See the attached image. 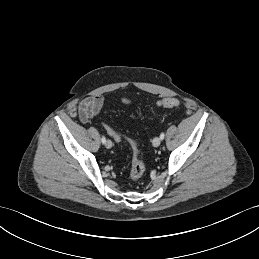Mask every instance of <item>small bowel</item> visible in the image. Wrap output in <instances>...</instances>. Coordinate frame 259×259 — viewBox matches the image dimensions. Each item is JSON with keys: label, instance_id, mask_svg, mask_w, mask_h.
<instances>
[{"label": "small bowel", "instance_id": "1", "mask_svg": "<svg viewBox=\"0 0 259 259\" xmlns=\"http://www.w3.org/2000/svg\"><path fill=\"white\" fill-rule=\"evenodd\" d=\"M128 104V100H123ZM104 100L102 97H89L85 99L80 105V117L83 122H88L95 118L103 107Z\"/></svg>", "mask_w": 259, "mask_h": 259}]
</instances>
